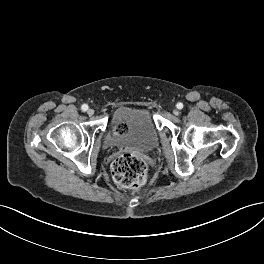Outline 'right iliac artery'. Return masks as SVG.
Wrapping results in <instances>:
<instances>
[{
    "instance_id": "right-iliac-artery-1",
    "label": "right iliac artery",
    "mask_w": 264,
    "mask_h": 264,
    "mask_svg": "<svg viewBox=\"0 0 264 264\" xmlns=\"http://www.w3.org/2000/svg\"><path fill=\"white\" fill-rule=\"evenodd\" d=\"M82 111H87L88 110V105L87 104H83L81 107Z\"/></svg>"
}]
</instances>
